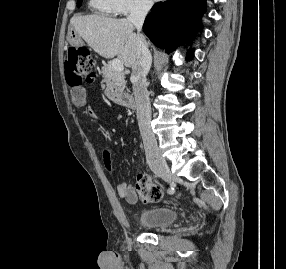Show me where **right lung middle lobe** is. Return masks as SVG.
Listing matches in <instances>:
<instances>
[{
  "label": "right lung middle lobe",
  "mask_w": 286,
  "mask_h": 269,
  "mask_svg": "<svg viewBox=\"0 0 286 269\" xmlns=\"http://www.w3.org/2000/svg\"><path fill=\"white\" fill-rule=\"evenodd\" d=\"M77 2H78V5H80V3L82 2V0H77Z\"/></svg>",
  "instance_id": "1"
}]
</instances>
